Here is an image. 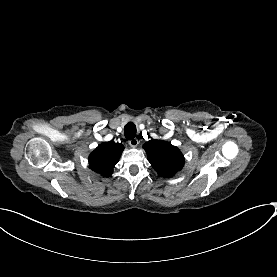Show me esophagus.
Listing matches in <instances>:
<instances>
[{
    "label": "esophagus",
    "mask_w": 277,
    "mask_h": 277,
    "mask_svg": "<svg viewBox=\"0 0 277 277\" xmlns=\"http://www.w3.org/2000/svg\"><path fill=\"white\" fill-rule=\"evenodd\" d=\"M128 144H129L131 147L135 148V147H137V146H138L139 141H138V139H137V138H134V139H132V140L128 141Z\"/></svg>",
    "instance_id": "1"
}]
</instances>
